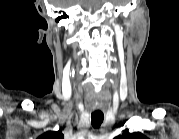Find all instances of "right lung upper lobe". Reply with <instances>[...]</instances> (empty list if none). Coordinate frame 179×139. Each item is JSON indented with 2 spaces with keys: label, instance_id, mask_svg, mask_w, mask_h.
Here are the masks:
<instances>
[{
  "label": "right lung upper lobe",
  "instance_id": "cb5924a9",
  "mask_svg": "<svg viewBox=\"0 0 179 139\" xmlns=\"http://www.w3.org/2000/svg\"><path fill=\"white\" fill-rule=\"evenodd\" d=\"M39 139H63V134L61 131L53 132L48 131L41 135Z\"/></svg>",
  "mask_w": 179,
  "mask_h": 139
}]
</instances>
